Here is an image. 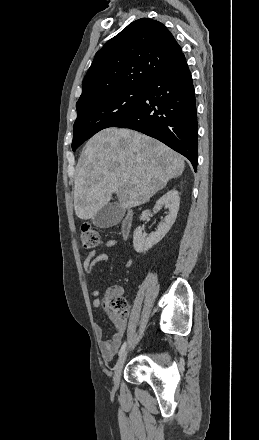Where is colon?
Returning <instances> with one entry per match:
<instances>
[{
    "mask_svg": "<svg viewBox=\"0 0 259 440\" xmlns=\"http://www.w3.org/2000/svg\"><path fill=\"white\" fill-rule=\"evenodd\" d=\"M99 232L90 224H83L80 232V243L84 248L92 249L101 245ZM104 304L112 308L119 321H122L128 313V305L119 297L116 289H113L105 298Z\"/></svg>",
    "mask_w": 259,
    "mask_h": 440,
    "instance_id": "5ec220e1",
    "label": "colon"
}]
</instances>
